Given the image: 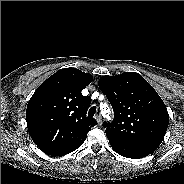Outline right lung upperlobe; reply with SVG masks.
<instances>
[{"label":"right lung upper lobe","instance_id":"right-lung-upper-lobe-1","mask_svg":"<svg viewBox=\"0 0 184 184\" xmlns=\"http://www.w3.org/2000/svg\"><path fill=\"white\" fill-rule=\"evenodd\" d=\"M93 77L76 68L57 71L30 98L26 121L34 143L51 156L66 155L79 148L89 130L97 125L86 116L89 96L81 91Z\"/></svg>","mask_w":184,"mask_h":184}]
</instances>
